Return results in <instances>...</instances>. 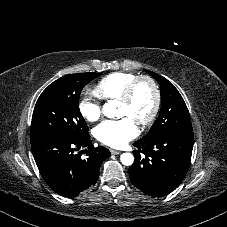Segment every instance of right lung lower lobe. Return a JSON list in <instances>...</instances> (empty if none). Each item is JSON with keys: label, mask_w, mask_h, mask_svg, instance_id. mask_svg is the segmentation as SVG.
<instances>
[{"label": "right lung lower lobe", "mask_w": 227, "mask_h": 227, "mask_svg": "<svg viewBox=\"0 0 227 227\" xmlns=\"http://www.w3.org/2000/svg\"><path fill=\"white\" fill-rule=\"evenodd\" d=\"M82 147L86 157L82 156ZM37 167L52 190L64 197H76L94 185L102 162L111 153L108 149L91 144L90 135H50L31 143Z\"/></svg>", "instance_id": "98d812e1"}]
</instances>
